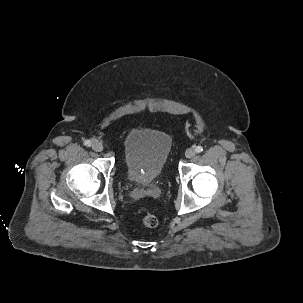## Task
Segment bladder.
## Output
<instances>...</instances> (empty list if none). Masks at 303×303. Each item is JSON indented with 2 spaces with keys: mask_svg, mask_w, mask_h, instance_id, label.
Wrapping results in <instances>:
<instances>
[{
  "mask_svg": "<svg viewBox=\"0 0 303 303\" xmlns=\"http://www.w3.org/2000/svg\"><path fill=\"white\" fill-rule=\"evenodd\" d=\"M172 148L171 136L151 128L132 129L125 137L123 155L130 182L147 186L162 173Z\"/></svg>",
  "mask_w": 303,
  "mask_h": 303,
  "instance_id": "31cf9c89",
  "label": "bladder"
}]
</instances>
